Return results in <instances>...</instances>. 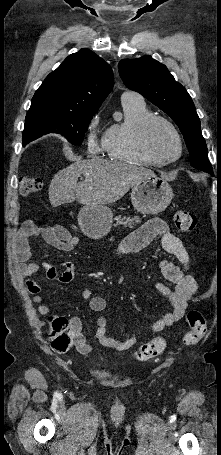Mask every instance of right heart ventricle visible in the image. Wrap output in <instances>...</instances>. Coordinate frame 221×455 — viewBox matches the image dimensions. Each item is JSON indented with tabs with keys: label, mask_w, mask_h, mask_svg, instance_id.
Instances as JSON below:
<instances>
[{
	"label": "right heart ventricle",
	"mask_w": 221,
	"mask_h": 455,
	"mask_svg": "<svg viewBox=\"0 0 221 455\" xmlns=\"http://www.w3.org/2000/svg\"><path fill=\"white\" fill-rule=\"evenodd\" d=\"M124 120L110 125L105 132L103 150L111 160L132 164L155 166L160 163L141 151L137 145L136 133L139 124L152 112L146 104L134 100H123Z\"/></svg>",
	"instance_id": "right-heart-ventricle-1"
}]
</instances>
